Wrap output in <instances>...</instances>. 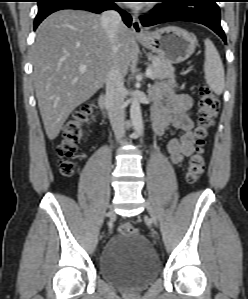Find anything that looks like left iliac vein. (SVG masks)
<instances>
[{
  "label": "left iliac vein",
  "instance_id": "4c4485c4",
  "mask_svg": "<svg viewBox=\"0 0 248 299\" xmlns=\"http://www.w3.org/2000/svg\"><path fill=\"white\" fill-rule=\"evenodd\" d=\"M145 206H146V208H147L148 213H149L150 216H151V219H152L153 223H154L155 225H157V217H156V214H155V212H154V209H153L152 205H151L148 201H146V202H145Z\"/></svg>",
  "mask_w": 248,
  "mask_h": 299
}]
</instances>
